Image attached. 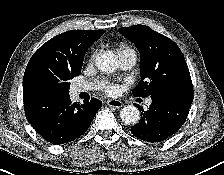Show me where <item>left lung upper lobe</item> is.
I'll return each instance as SVG.
<instances>
[{
	"mask_svg": "<svg viewBox=\"0 0 224 175\" xmlns=\"http://www.w3.org/2000/svg\"><path fill=\"white\" fill-rule=\"evenodd\" d=\"M132 41L140 53L141 82L135 96H152L164 92L193 94L185 58L175 42L145 25L118 30Z\"/></svg>",
	"mask_w": 224,
	"mask_h": 175,
	"instance_id": "obj_1",
	"label": "left lung upper lobe"
}]
</instances>
